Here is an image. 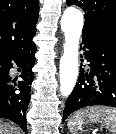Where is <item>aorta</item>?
Masks as SVG:
<instances>
[{
    "label": "aorta",
    "mask_w": 116,
    "mask_h": 134,
    "mask_svg": "<svg viewBox=\"0 0 116 134\" xmlns=\"http://www.w3.org/2000/svg\"><path fill=\"white\" fill-rule=\"evenodd\" d=\"M83 28L82 13L73 8H67L61 18V29L65 35L64 53L60 60V92L68 97L78 77L79 40Z\"/></svg>",
    "instance_id": "762f6f07"
}]
</instances>
